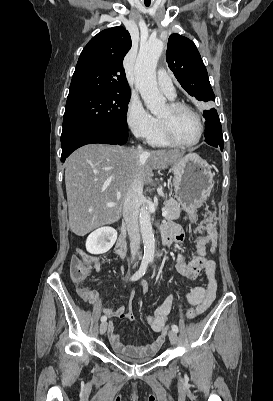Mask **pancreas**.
<instances>
[{"label":"pancreas","mask_w":273,"mask_h":401,"mask_svg":"<svg viewBox=\"0 0 273 401\" xmlns=\"http://www.w3.org/2000/svg\"><path fill=\"white\" fill-rule=\"evenodd\" d=\"M163 205L167 206V215L165 217L166 221H174V219H179L181 209L179 203L175 201V198H169V201H165Z\"/></svg>","instance_id":"obj_1"}]
</instances>
